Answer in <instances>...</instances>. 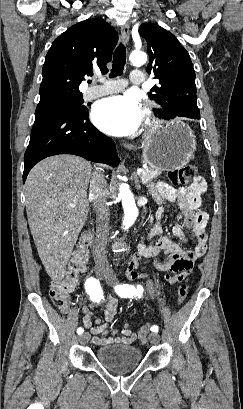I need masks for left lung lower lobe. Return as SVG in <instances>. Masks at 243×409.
Segmentation results:
<instances>
[{"label":"left lung lower lobe","instance_id":"0a47b994","mask_svg":"<svg viewBox=\"0 0 243 409\" xmlns=\"http://www.w3.org/2000/svg\"><path fill=\"white\" fill-rule=\"evenodd\" d=\"M174 114H175V116L170 115V116H169V119L174 118V117H176V116L188 117V118H193V119H199V118H200V113H199V114H194V115H191V114H182V113H174Z\"/></svg>","mask_w":243,"mask_h":409}]
</instances>
